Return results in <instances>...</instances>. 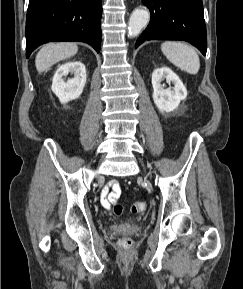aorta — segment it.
<instances>
[{
  "label": "aorta",
  "instance_id": "762f6f07",
  "mask_svg": "<svg viewBox=\"0 0 243 289\" xmlns=\"http://www.w3.org/2000/svg\"><path fill=\"white\" fill-rule=\"evenodd\" d=\"M150 13L146 9H136L130 16L128 23V36L130 38L136 37L141 30L148 24Z\"/></svg>",
  "mask_w": 243,
  "mask_h": 289
}]
</instances>
